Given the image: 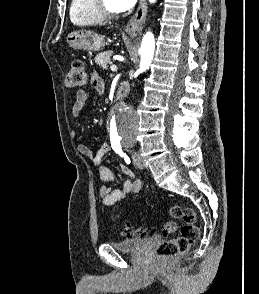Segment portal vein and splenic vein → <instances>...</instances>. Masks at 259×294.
Returning <instances> with one entry per match:
<instances>
[{
  "instance_id": "obj_1",
  "label": "portal vein and splenic vein",
  "mask_w": 259,
  "mask_h": 294,
  "mask_svg": "<svg viewBox=\"0 0 259 294\" xmlns=\"http://www.w3.org/2000/svg\"><path fill=\"white\" fill-rule=\"evenodd\" d=\"M110 68H111V70H112V71H117V69H118V68H117V66H116V65H114V64H113V65H111V67H110Z\"/></svg>"
}]
</instances>
